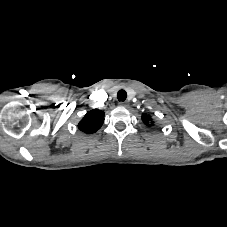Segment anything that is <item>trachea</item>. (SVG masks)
I'll return each instance as SVG.
<instances>
[{"instance_id": "obj_1", "label": "trachea", "mask_w": 227, "mask_h": 227, "mask_svg": "<svg viewBox=\"0 0 227 227\" xmlns=\"http://www.w3.org/2000/svg\"><path fill=\"white\" fill-rule=\"evenodd\" d=\"M117 98L119 101H125L126 98H127V93L125 90H120L118 93H117Z\"/></svg>"}]
</instances>
